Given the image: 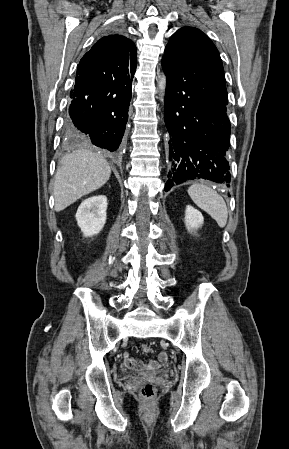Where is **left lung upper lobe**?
I'll return each mask as SVG.
<instances>
[{
	"instance_id": "obj_1",
	"label": "left lung upper lobe",
	"mask_w": 289,
	"mask_h": 449,
	"mask_svg": "<svg viewBox=\"0 0 289 449\" xmlns=\"http://www.w3.org/2000/svg\"><path fill=\"white\" fill-rule=\"evenodd\" d=\"M164 55L190 62L210 74L225 90V76L219 52L197 28L183 27L170 38Z\"/></svg>"
}]
</instances>
